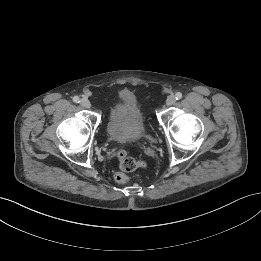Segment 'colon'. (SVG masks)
<instances>
[{
  "instance_id": "colon-1",
  "label": "colon",
  "mask_w": 261,
  "mask_h": 261,
  "mask_svg": "<svg viewBox=\"0 0 261 261\" xmlns=\"http://www.w3.org/2000/svg\"><path fill=\"white\" fill-rule=\"evenodd\" d=\"M118 162L120 171L115 173V180L118 183H125L128 181V174L146 167V163L142 160H136L129 156L125 151L118 153Z\"/></svg>"
}]
</instances>
